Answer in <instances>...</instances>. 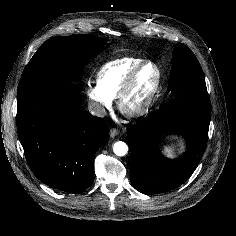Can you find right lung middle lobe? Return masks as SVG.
Returning a JSON list of instances; mask_svg holds the SVG:
<instances>
[{
    "instance_id": "dd1d6c3e",
    "label": "right lung middle lobe",
    "mask_w": 236,
    "mask_h": 236,
    "mask_svg": "<svg viewBox=\"0 0 236 236\" xmlns=\"http://www.w3.org/2000/svg\"><path fill=\"white\" fill-rule=\"evenodd\" d=\"M106 43L104 38L87 35L47 40L24 69L18 89L40 82L80 80L83 67L105 49Z\"/></svg>"
}]
</instances>
